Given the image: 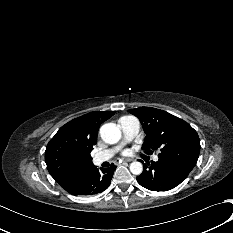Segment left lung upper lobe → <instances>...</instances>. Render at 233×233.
<instances>
[{
  "label": "left lung upper lobe",
  "mask_w": 233,
  "mask_h": 233,
  "mask_svg": "<svg viewBox=\"0 0 233 233\" xmlns=\"http://www.w3.org/2000/svg\"><path fill=\"white\" fill-rule=\"evenodd\" d=\"M129 112L137 116L146 133L142 149L160 150L158 157L192 170L200 153L197 132L184 120L160 109L140 107Z\"/></svg>",
  "instance_id": "left-lung-upper-lobe-1"
}]
</instances>
